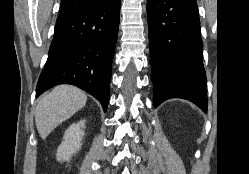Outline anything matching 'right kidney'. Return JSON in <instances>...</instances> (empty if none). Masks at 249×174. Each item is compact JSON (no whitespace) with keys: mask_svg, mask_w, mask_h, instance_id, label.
Wrapping results in <instances>:
<instances>
[{"mask_svg":"<svg viewBox=\"0 0 249 174\" xmlns=\"http://www.w3.org/2000/svg\"><path fill=\"white\" fill-rule=\"evenodd\" d=\"M85 120L70 125L63 136V141L57 149L56 159L58 161H70L82 146L84 137Z\"/></svg>","mask_w":249,"mask_h":174,"instance_id":"1","label":"right kidney"}]
</instances>
